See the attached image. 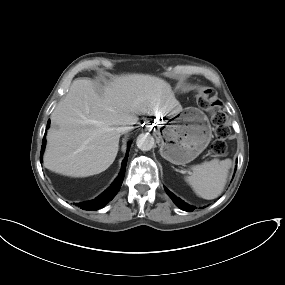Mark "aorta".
<instances>
[{
    "label": "aorta",
    "mask_w": 285,
    "mask_h": 285,
    "mask_svg": "<svg viewBox=\"0 0 285 285\" xmlns=\"http://www.w3.org/2000/svg\"><path fill=\"white\" fill-rule=\"evenodd\" d=\"M136 145L142 151H149L154 146V138L148 133H142L137 137Z\"/></svg>",
    "instance_id": "aorta-1"
}]
</instances>
